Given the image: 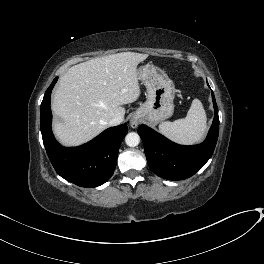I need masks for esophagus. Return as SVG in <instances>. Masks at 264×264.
Listing matches in <instances>:
<instances>
[{
  "label": "esophagus",
  "instance_id": "34e87169",
  "mask_svg": "<svg viewBox=\"0 0 264 264\" xmlns=\"http://www.w3.org/2000/svg\"><path fill=\"white\" fill-rule=\"evenodd\" d=\"M138 124H139L138 117L136 115H133V117L130 120V126L132 128H137Z\"/></svg>",
  "mask_w": 264,
  "mask_h": 264
}]
</instances>
